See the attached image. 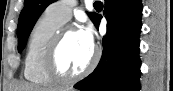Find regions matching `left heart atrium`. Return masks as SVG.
I'll use <instances>...</instances> for the list:
<instances>
[{"instance_id":"1","label":"left heart atrium","mask_w":173,"mask_h":91,"mask_svg":"<svg viewBox=\"0 0 173 91\" xmlns=\"http://www.w3.org/2000/svg\"><path fill=\"white\" fill-rule=\"evenodd\" d=\"M79 34L88 46L93 47L94 36H93L92 29L90 27H85V28L81 29L79 31Z\"/></svg>"}]
</instances>
